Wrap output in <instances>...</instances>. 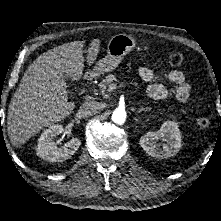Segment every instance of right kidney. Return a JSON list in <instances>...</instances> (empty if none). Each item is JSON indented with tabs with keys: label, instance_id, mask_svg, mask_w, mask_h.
<instances>
[{
	"label": "right kidney",
	"instance_id": "right-kidney-1",
	"mask_svg": "<svg viewBox=\"0 0 221 221\" xmlns=\"http://www.w3.org/2000/svg\"><path fill=\"white\" fill-rule=\"evenodd\" d=\"M63 126L60 124L52 125L46 129L40 136L36 154L39 158L49 162H63L70 158L81 145L78 138H72L62 147H57L54 138L63 132Z\"/></svg>",
	"mask_w": 221,
	"mask_h": 221
}]
</instances>
